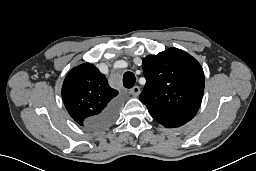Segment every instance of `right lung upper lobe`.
<instances>
[{"label":"right lung upper lobe","mask_w":256,"mask_h":171,"mask_svg":"<svg viewBox=\"0 0 256 171\" xmlns=\"http://www.w3.org/2000/svg\"><path fill=\"white\" fill-rule=\"evenodd\" d=\"M118 91L112 89L105 76L92 64L73 68L62 86V98L70 116L81 126L93 128L90 120L116 101Z\"/></svg>","instance_id":"1"}]
</instances>
